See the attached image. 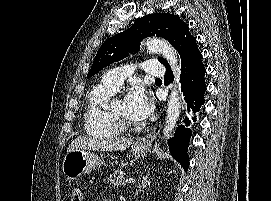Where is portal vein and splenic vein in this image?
I'll list each match as a JSON object with an SVG mask.
<instances>
[{"instance_id": "18ae733b", "label": "portal vein and splenic vein", "mask_w": 271, "mask_h": 201, "mask_svg": "<svg viewBox=\"0 0 271 201\" xmlns=\"http://www.w3.org/2000/svg\"><path fill=\"white\" fill-rule=\"evenodd\" d=\"M125 182L131 184L135 182V179L129 178V179H126Z\"/></svg>"}]
</instances>
